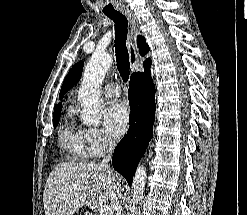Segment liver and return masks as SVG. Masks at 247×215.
<instances>
[{
    "label": "liver",
    "instance_id": "6515ba94",
    "mask_svg": "<svg viewBox=\"0 0 247 215\" xmlns=\"http://www.w3.org/2000/svg\"><path fill=\"white\" fill-rule=\"evenodd\" d=\"M116 179L115 174L100 164H58L50 173L44 189L45 215H73L88 201L100 207L109 200L113 204L114 196L120 189V182Z\"/></svg>",
    "mask_w": 247,
    "mask_h": 215
}]
</instances>
